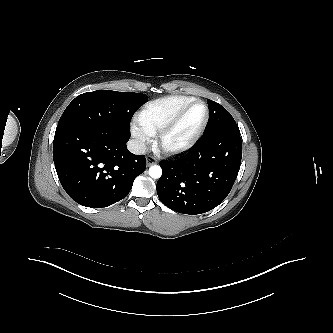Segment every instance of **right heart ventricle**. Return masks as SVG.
Returning a JSON list of instances; mask_svg holds the SVG:
<instances>
[{
    "mask_svg": "<svg viewBox=\"0 0 333 333\" xmlns=\"http://www.w3.org/2000/svg\"><path fill=\"white\" fill-rule=\"evenodd\" d=\"M193 100L191 96L172 95L150 101L139 111L137 122L149 135H156L182 107Z\"/></svg>",
    "mask_w": 333,
    "mask_h": 333,
    "instance_id": "e07e8e85",
    "label": "right heart ventricle"
}]
</instances>
